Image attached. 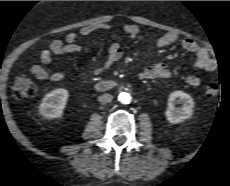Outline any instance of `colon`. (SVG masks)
Instances as JSON below:
<instances>
[{
    "label": "colon",
    "instance_id": "obj_1",
    "mask_svg": "<svg viewBox=\"0 0 230 186\" xmlns=\"http://www.w3.org/2000/svg\"><path fill=\"white\" fill-rule=\"evenodd\" d=\"M13 95L18 98L31 97L36 93V85L34 81L26 74H18L13 82ZM219 92V85L216 82H210L206 85V94L210 97L217 95Z\"/></svg>",
    "mask_w": 230,
    "mask_h": 186
}]
</instances>
